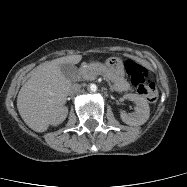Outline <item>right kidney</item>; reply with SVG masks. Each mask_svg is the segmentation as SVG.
Masks as SVG:
<instances>
[{
    "instance_id": "right-kidney-1",
    "label": "right kidney",
    "mask_w": 187,
    "mask_h": 187,
    "mask_svg": "<svg viewBox=\"0 0 187 187\" xmlns=\"http://www.w3.org/2000/svg\"><path fill=\"white\" fill-rule=\"evenodd\" d=\"M67 113H68V110L65 107L61 108L51 124L58 125L61 122H63L67 116Z\"/></svg>"
}]
</instances>
